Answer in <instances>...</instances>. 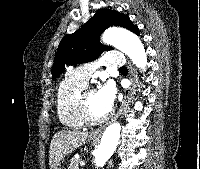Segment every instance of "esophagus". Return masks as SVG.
<instances>
[{
	"mask_svg": "<svg viewBox=\"0 0 200 169\" xmlns=\"http://www.w3.org/2000/svg\"><path fill=\"white\" fill-rule=\"evenodd\" d=\"M128 69H129V79H130V87L128 89L125 90L124 92V98H123V101H122V104L117 112V114L115 115V117L113 118L112 122L115 121L121 114L122 112L124 111L125 107H126V104L128 102V99H129V96L131 95V92L134 88V79H133V74H134V69L131 65V63H128ZM106 125H103L102 127L96 129V130H93L91 133H90V136L91 137H99L101 136L102 132L104 131Z\"/></svg>",
	"mask_w": 200,
	"mask_h": 169,
	"instance_id": "obj_1",
	"label": "esophagus"
}]
</instances>
